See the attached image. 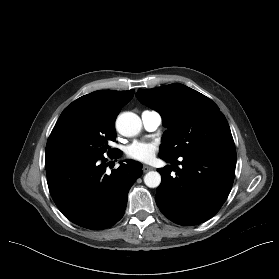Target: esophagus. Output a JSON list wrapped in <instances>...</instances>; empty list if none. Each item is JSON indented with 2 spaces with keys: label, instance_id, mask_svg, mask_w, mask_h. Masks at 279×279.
Masks as SVG:
<instances>
[{
  "label": "esophagus",
  "instance_id": "obj_1",
  "mask_svg": "<svg viewBox=\"0 0 279 279\" xmlns=\"http://www.w3.org/2000/svg\"><path fill=\"white\" fill-rule=\"evenodd\" d=\"M152 169H153L152 167L147 166V165H144L143 168H142V170H143L144 173H146V172H148V171H150V170H152Z\"/></svg>",
  "mask_w": 279,
  "mask_h": 279
}]
</instances>
